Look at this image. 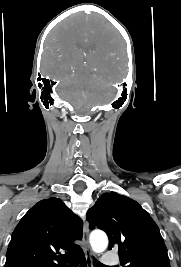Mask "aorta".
I'll return each mask as SVG.
<instances>
[{
  "label": "aorta",
  "instance_id": "aorta-1",
  "mask_svg": "<svg viewBox=\"0 0 181 267\" xmlns=\"http://www.w3.org/2000/svg\"><path fill=\"white\" fill-rule=\"evenodd\" d=\"M90 244L95 253H101L108 247V237L102 231H94L90 234Z\"/></svg>",
  "mask_w": 181,
  "mask_h": 267
}]
</instances>
